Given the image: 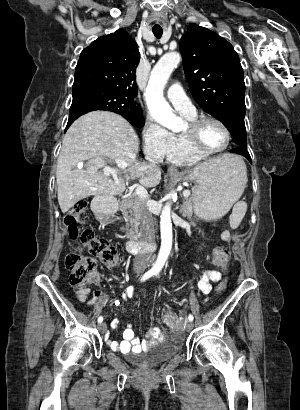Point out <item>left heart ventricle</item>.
<instances>
[{
  "mask_svg": "<svg viewBox=\"0 0 300 410\" xmlns=\"http://www.w3.org/2000/svg\"><path fill=\"white\" fill-rule=\"evenodd\" d=\"M200 139L205 149L215 150L225 145L226 134L218 124L206 122L201 127Z\"/></svg>",
  "mask_w": 300,
  "mask_h": 410,
  "instance_id": "b2bd125f",
  "label": "left heart ventricle"
}]
</instances>
